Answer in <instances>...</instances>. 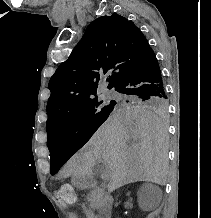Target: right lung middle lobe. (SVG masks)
Masks as SVG:
<instances>
[{
  "instance_id": "right-lung-middle-lobe-1",
  "label": "right lung middle lobe",
  "mask_w": 211,
  "mask_h": 218,
  "mask_svg": "<svg viewBox=\"0 0 211 218\" xmlns=\"http://www.w3.org/2000/svg\"><path fill=\"white\" fill-rule=\"evenodd\" d=\"M166 99L167 98L159 97H121L111 101H98L96 97L61 116L57 122L47 130L48 147H70L76 152L90 139L99 126L108 118L116 105H146L159 111H166ZM64 162L65 161L61 162L51 159V175L56 174Z\"/></svg>"
}]
</instances>
